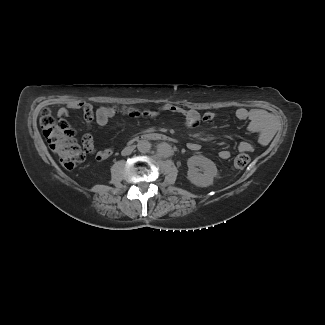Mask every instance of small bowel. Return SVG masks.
Masks as SVG:
<instances>
[{
  "label": "small bowel",
  "mask_w": 325,
  "mask_h": 325,
  "mask_svg": "<svg viewBox=\"0 0 325 325\" xmlns=\"http://www.w3.org/2000/svg\"><path fill=\"white\" fill-rule=\"evenodd\" d=\"M163 110L179 114L184 117V120L180 122L182 127L188 129H195L200 127L202 124L209 123L213 121L217 115L214 112H206L201 114L199 111L195 109H187L182 106L167 103L162 107ZM74 110H82L84 113V118L86 123L90 126L95 120L98 127L103 128L107 125L110 118H112L115 114V111L106 106L99 107L95 112L93 111V107L91 104L86 102H75L69 104L67 107H62L59 109L57 113V125L61 131H64L68 134L69 138H74L76 134H78V129L72 127L71 122H69V118L66 116L70 111ZM145 115L154 118L157 116V113L152 110L145 111ZM235 116L239 120H248L249 121V130L252 132H256L259 134V142L261 144H266L270 136L273 132V127L271 123L270 116L261 109H247L244 107H240L236 110ZM82 144L85 150L92 154L96 160L103 161L109 158L114 149L112 147H106L101 150H97L94 144L93 137L90 133L84 134L82 138ZM200 144L198 142H190L188 143V148L192 151H197L200 149ZM254 149L253 145L250 142H241L238 145V150L240 152H252ZM220 158L226 160L231 157V152L227 149L221 150L219 152Z\"/></svg>",
  "instance_id": "1"
}]
</instances>
